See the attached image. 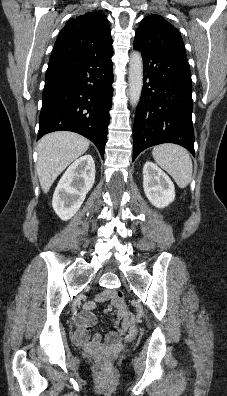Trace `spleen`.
<instances>
[{
  "mask_svg": "<svg viewBox=\"0 0 227 396\" xmlns=\"http://www.w3.org/2000/svg\"><path fill=\"white\" fill-rule=\"evenodd\" d=\"M159 166L167 171L180 188H185L192 179V160L187 150L176 144H161L152 151Z\"/></svg>",
  "mask_w": 227,
  "mask_h": 396,
  "instance_id": "3e777b00",
  "label": "spleen"
}]
</instances>
